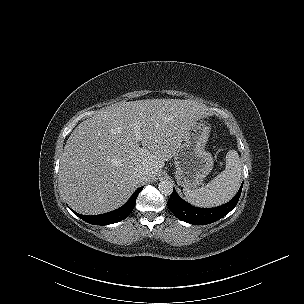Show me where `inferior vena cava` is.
<instances>
[{
	"label": "inferior vena cava",
	"mask_w": 304,
	"mask_h": 304,
	"mask_svg": "<svg viewBox=\"0 0 304 304\" xmlns=\"http://www.w3.org/2000/svg\"><path fill=\"white\" fill-rule=\"evenodd\" d=\"M148 172L147 171H145V170H138L137 171V177L140 179V180H143V181H145V180H147L148 179Z\"/></svg>",
	"instance_id": "1"
}]
</instances>
